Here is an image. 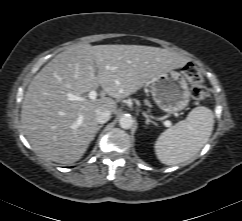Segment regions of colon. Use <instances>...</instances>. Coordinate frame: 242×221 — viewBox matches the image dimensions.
<instances>
[{"label":"colon","mask_w":242,"mask_h":221,"mask_svg":"<svg viewBox=\"0 0 242 221\" xmlns=\"http://www.w3.org/2000/svg\"><path fill=\"white\" fill-rule=\"evenodd\" d=\"M183 72L192 85V96L197 101H204L209 96L208 89L202 84V76L193 64H186Z\"/></svg>","instance_id":"1"}]
</instances>
